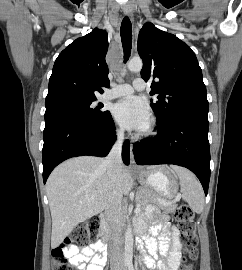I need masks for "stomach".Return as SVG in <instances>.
<instances>
[{
    "mask_svg": "<svg viewBox=\"0 0 242 270\" xmlns=\"http://www.w3.org/2000/svg\"><path fill=\"white\" fill-rule=\"evenodd\" d=\"M139 183L163 197H171L177 192L176 175L166 166L153 167L138 175Z\"/></svg>",
    "mask_w": 242,
    "mask_h": 270,
    "instance_id": "1",
    "label": "stomach"
}]
</instances>
